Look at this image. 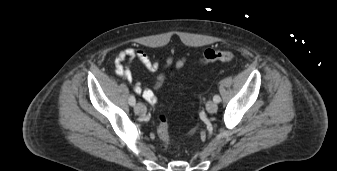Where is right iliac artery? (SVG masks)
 Masks as SVG:
<instances>
[{"label":"right iliac artery","mask_w":337,"mask_h":171,"mask_svg":"<svg viewBox=\"0 0 337 171\" xmlns=\"http://www.w3.org/2000/svg\"><path fill=\"white\" fill-rule=\"evenodd\" d=\"M135 103H136L135 97H134V95H131L130 98H129V104L131 106H134Z\"/></svg>","instance_id":"82829eb1"}]
</instances>
